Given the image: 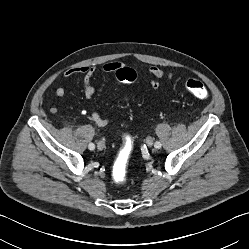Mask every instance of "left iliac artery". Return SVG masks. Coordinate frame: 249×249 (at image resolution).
I'll return each mask as SVG.
<instances>
[{
    "instance_id": "1",
    "label": "left iliac artery",
    "mask_w": 249,
    "mask_h": 249,
    "mask_svg": "<svg viewBox=\"0 0 249 249\" xmlns=\"http://www.w3.org/2000/svg\"><path fill=\"white\" fill-rule=\"evenodd\" d=\"M154 146H155V148L159 149V148H161L162 144L160 142L156 141Z\"/></svg>"
}]
</instances>
